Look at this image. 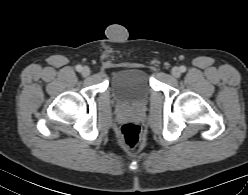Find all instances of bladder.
<instances>
[{
	"label": "bladder",
	"instance_id": "31cf9c89",
	"mask_svg": "<svg viewBox=\"0 0 248 195\" xmlns=\"http://www.w3.org/2000/svg\"><path fill=\"white\" fill-rule=\"evenodd\" d=\"M110 85L117 100L127 104L146 101L151 91L149 75L140 67L120 68L113 75Z\"/></svg>",
	"mask_w": 248,
	"mask_h": 195
}]
</instances>
